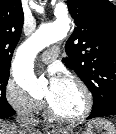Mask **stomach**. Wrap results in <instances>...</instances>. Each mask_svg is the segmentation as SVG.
Masks as SVG:
<instances>
[{"label":"stomach","mask_w":116,"mask_h":134,"mask_svg":"<svg viewBox=\"0 0 116 134\" xmlns=\"http://www.w3.org/2000/svg\"><path fill=\"white\" fill-rule=\"evenodd\" d=\"M59 134H116V129L108 120L93 119L86 124L81 132L73 133L71 129H65Z\"/></svg>","instance_id":"1"}]
</instances>
